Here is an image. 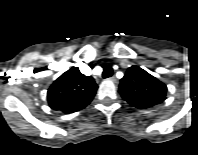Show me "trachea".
Returning <instances> with one entry per match:
<instances>
[{"label": "trachea", "mask_w": 198, "mask_h": 155, "mask_svg": "<svg viewBox=\"0 0 198 155\" xmlns=\"http://www.w3.org/2000/svg\"><path fill=\"white\" fill-rule=\"evenodd\" d=\"M112 75V69L110 67H106L103 72V78H108Z\"/></svg>", "instance_id": "3493384b"}]
</instances>
